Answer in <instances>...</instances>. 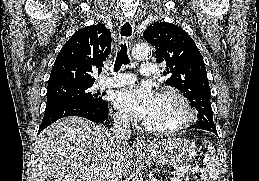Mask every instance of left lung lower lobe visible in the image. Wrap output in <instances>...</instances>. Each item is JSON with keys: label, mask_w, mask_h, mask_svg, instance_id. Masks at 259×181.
I'll list each match as a JSON object with an SVG mask.
<instances>
[{"label": "left lung lower lobe", "mask_w": 259, "mask_h": 181, "mask_svg": "<svg viewBox=\"0 0 259 181\" xmlns=\"http://www.w3.org/2000/svg\"><path fill=\"white\" fill-rule=\"evenodd\" d=\"M190 128H199V129L208 130V131H211V132L215 133L218 136L217 131L214 130V129H208V128L200 127L198 125H192Z\"/></svg>", "instance_id": "1"}]
</instances>
